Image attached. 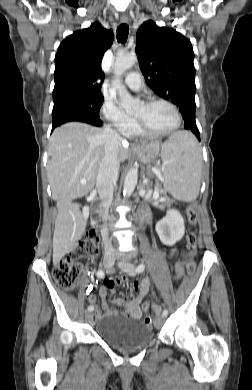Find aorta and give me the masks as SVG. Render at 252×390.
I'll use <instances>...</instances> for the list:
<instances>
[{"label": "aorta", "mask_w": 252, "mask_h": 390, "mask_svg": "<svg viewBox=\"0 0 252 390\" xmlns=\"http://www.w3.org/2000/svg\"><path fill=\"white\" fill-rule=\"evenodd\" d=\"M137 61L135 54L118 55L114 64L115 79L112 82V87L117 91L120 97V107L126 112H131L138 107L139 101L134 99L122 84L121 77L123 73L131 68ZM138 171L131 168L126 174L123 186V195L130 197L137 185Z\"/></svg>", "instance_id": "762f6f07"}]
</instances>
